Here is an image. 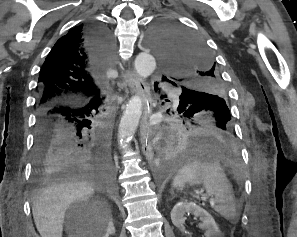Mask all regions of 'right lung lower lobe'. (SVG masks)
I'll list each match as a JSON object with an SVG mask.
<instances>
[{
	"instance_id": "1",
	"label": "right lung lower lobe",
	"mask_w": 297,
	"mask_h": 237,
	"mask_svg": "<svg viewBox=\"0 0 297 237\" xmlns=\"http://www.w3.org/2000/svg\"><path fill=\"white\" fill-rule=\"evenodd\" d=\"M90 47L105 61L111 53V38L105 27L90 28ZM97 96L78 104H54L37 110L33 177L36 182L79 173L111 177L110 146L102 125L90 134L91 118L101 104Z\"/></svg>"
}]
</instances>
